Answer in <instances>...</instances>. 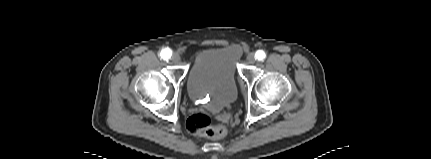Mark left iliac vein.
<instances>
[{"instance_id": "1", "label": "left iliac vein", "mask_w": 431, "mask_h": 159, "mask_svg": "<svg viewBox=\"0 0 431 159\" xmlns=\"http://www.w3.org/2000/svg\"><path fill=\"white\" fill-rule=\"evenodd\" d=\"M247 62L249 63V64H254L255 63V61H256V57H255V55H254V53H249L248 55H247Z\"/></svg>"}]
</instances>
